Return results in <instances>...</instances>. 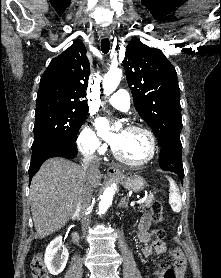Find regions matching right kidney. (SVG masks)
<instances>
[{
    "mask_svg": "<svg viewBox=\"0 0 221 278\" xmlns=\"http://www.w3.org/2000/svg\"><path fill=\"white\" fill-rule=\"evenodd\" d=\"M68 250L62 243V237H56L46 248L44 262L52 275L60 274L68 261Z\"/></svg>",
    "mask_w": 221,
    "mask_h": 278,
    "instance_id": "1",
    "label": "right kidney"
}]
</instances>
